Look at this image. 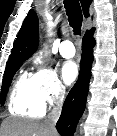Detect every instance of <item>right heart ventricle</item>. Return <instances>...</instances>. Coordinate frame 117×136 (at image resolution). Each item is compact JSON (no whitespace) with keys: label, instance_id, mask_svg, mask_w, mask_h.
I'll return each mask as SVG.
<instances>
[{"label":"right heart ventricle","instance_id":"e07e8e85","mask_svg":"<svg viewBox=\"0 0 117 136\" xmlns=\"http://www.w3.org/2000/svg\"><path fill=\"white\" fill-rule=\"evenodd\" d=\"M9 110L25 117L43 116L45 107L35 93L33 75L23 72L17 77L9 98Z\"/></svg>","mask_w":117,"mask_h":136}]
</instances>
